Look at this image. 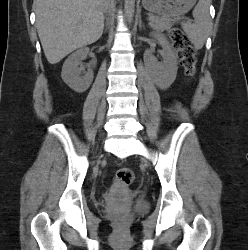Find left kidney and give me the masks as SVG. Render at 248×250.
I'll return each instance as SVG.
<instances>
[{
    "label": "left kidney",
    "instance_id": "5707ae66",
    "mask_svg": "<svg viewBox=\"0 0 248 250\" xmlns=\"http://www.w3.org/2000/svg\"><path fill=\"white\" fill-rule=\"evenodd\" d=\"M150 36L156 39L163 49V64L156 66L153 72V77L155 84L159 88L165 89L169 87L176 78L178 70L177 55L173 51L169 41L162 33L152 32Z\"/></svg>",
    "mask_w": 248,
    "mask_h": 250
}]
</instances>
